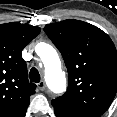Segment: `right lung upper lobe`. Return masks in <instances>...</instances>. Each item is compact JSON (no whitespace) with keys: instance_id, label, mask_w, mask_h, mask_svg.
I'll return each mask as SVG.
<instances>
[{"instance_id":"right-lung-upper-lobe-1","label":"right lung upper lobe","mask_w":117,"mask_h":117,"mask_svg":"<svg viewBox=\"0 0 117 117\" xmlns=\"http://www.w3.org/2000/svg\"><path fill=\"white\" fill-rule=\"evenodd\" d=\"M40 27L11 22L0 25V117H24L36 85L28 81L23 48Z\"/></svg>"}]
</instances>
